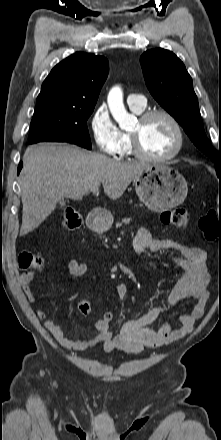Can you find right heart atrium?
Wrapping results in <instances>:
<instances>
[{"instance_id": "d8ad5b80", "label": "right heart atrium", "mask_w": 221, "mask_h": 440, "mask_svg": "<svg viewBox=\"0 0 221 440\" xmlns=\"http://www.w3.org/2000/svg\"><path fill=\"white\" fill-rule=\"evenodd\" d=\"M90 131L100 152L114 156L123 147V135L105 106L97 107L90 118Z\"/></svg>"}]
</instances>
